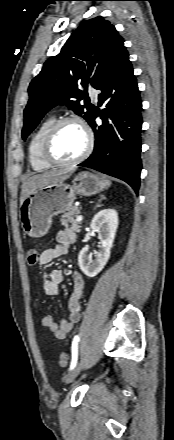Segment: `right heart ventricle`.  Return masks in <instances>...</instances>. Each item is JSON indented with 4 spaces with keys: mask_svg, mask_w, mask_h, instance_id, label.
Masks as SVG:
<instances>
[{
    "mask_svg": "<svg viewBox=\"0 0 174 440\" xmlns=\"http://www.w3.org/2000/svg\"><path fill=\"white\" fill-rule=\"evenodd\" d=\"M56 118L54 116L46 118L42 121L33 132L28 143V157L29 163L33 170L37 172L46 171L53 166L47 163L42 156V146L44 138L55 123Z\"/></svg>",
    "mask_w": 174,
    "mask_h": 440,
    "instance_id": "e07e8e85",
    "label": "right heart ventricle"
}]
</instances>
